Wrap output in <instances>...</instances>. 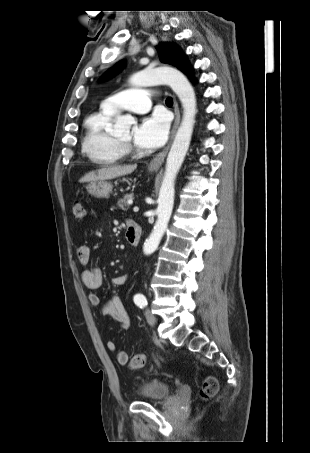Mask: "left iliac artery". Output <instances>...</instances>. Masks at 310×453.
I'll return each instance as SVG.
<instances>
[{"mask_svg": "<svg viewBox=\"0 0 310 453\" xmlns=\"http://www.w3.org/2000/svg\"><path fill=\"white\" fill-rule=\"evenodd\" d=\"M134 302L140 308H144L145 306H147V299L143 294H136L134 296Z\"/></svg>", "mask_w": 310, "mask_h": 453, "instance_id": "obj_1", "label": "left iliac artery"}]
</instances>
